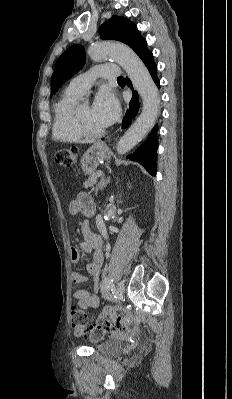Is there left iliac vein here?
I'll list each match as a JSON object with an SVG mask.
<instances>
[{
  "label": "left iliac vein",
  "mask_w": 232,
  "mask_h": 399,
  "mask_svg": "<svg viewBox=\"0 0 232 399\" xmlns=\"http://www.w3.org/2000/svg\"><path fill=\"white\" fill-rule=\"evenodd\" d=\"M118 290L120 293H125L126 292V287L123 283H118L117 284Z\"/></svg>",
  "instance_id": "obj_1"
}]
</instances>
